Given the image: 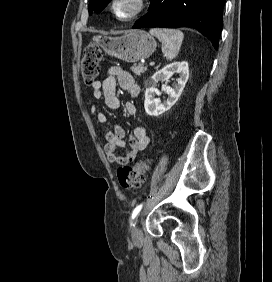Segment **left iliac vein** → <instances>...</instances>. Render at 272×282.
Wrapping results in <instances>:
<instances>
[{
    "label": "left iliac vein",
    "mask_w": 272,
    "mask_h": 282,
    "mask_svg": "<svg viewBox=\"0 0 272 282\" xmlns=\"http://www.w3.org/2000/svg\"><path fill=\"white\" fill-rule=\"evenodd\" d=\"M132 236V242L136 245H141L143 241V235L140 227L137 225V222L135 221L134 226L132 228L131 232Z\"/></svg>",
    "instance_id": "1"
}]
</instances>
